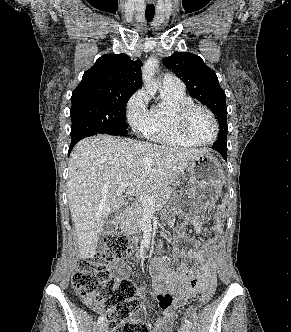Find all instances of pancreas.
I'll list each match as a JSON object with an SVG mask.
<instances>
[{"mask_svg": "<svg viewBox=\"0 0 291 332\" xmlns=\"http://www.w3.org/2000/svg\"><path fill=\"white\" fill-rule=\"evenodd\" d=\"M174 189L171 187H165L162 189L155 190L147 193L152 196L155 203L161 207L167 204L170 200ZM146 210V205L142 201H138L124 214V219L121 221V229L124 232L133 233L141 231V220Z\"/></svg>", "mask_w": 291, "mask_h": 332, "instance_id": "obj_1", "label": "pancreas"}]
</instances>
